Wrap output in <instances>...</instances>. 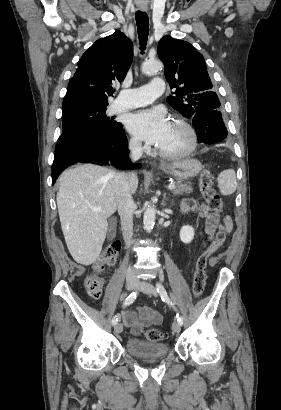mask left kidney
Segmentation results:
<instances>
[{
	"mask_svg": "<svg viewBox=\"0 0 281 410\" xmlns=\"http://www.w3.org/2000/svg\"><path fill=\"white\" fill-rule=\"evenodd\" d=\"M194 238V229L192 226L185 225L180 230V239L183 243L188 244Z\"/></svg>",
	"mask_w": 281,
	"mask_h": 410,
	"instance_id": "5707ae66",
	"label": "left kidney"
}]
</instances>
